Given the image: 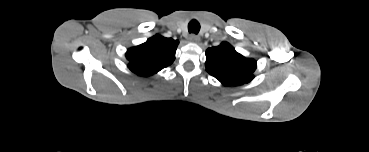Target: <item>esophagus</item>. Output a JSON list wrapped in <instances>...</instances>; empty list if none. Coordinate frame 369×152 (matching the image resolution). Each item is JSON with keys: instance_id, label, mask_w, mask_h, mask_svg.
Instances as JSON below:
<instances>
[{"instance_id": "obj_1", "label": "esophagus", "mask_w": 369, "mask_h": 152, "mask_svg": "<svg viewBox=\"0 0 369 152\" xmlns=\"http://www.w3.org/2000/svg\"><path fill=\"white\" fill-rule=\"evenodd\" d=\"M189 41L192 43H198L200 41V38L196 34H191L189 36Z\"/></svg>"}]
</instances>
